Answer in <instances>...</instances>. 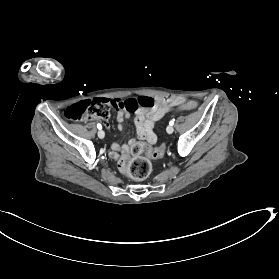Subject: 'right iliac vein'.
Wrapping results in <instances>:
<instances>
[{
	"mask_svg": "<svg viewBox=\"0 0 279 279\" xmlns=\"http://www.w3.org/2000/svg\"><path fill=\"white\" fill-rule=\"evenodd\" d=\"M98 137H99L100 139H103V138L105 137V132H104L103 130H99V131H98Z\"/></svg>",
	"mask_w": 279,
	"mask_h": 279,
	"instance_id": "63e3f726",
	"label": "right iliac vein"
}]
</instances>
